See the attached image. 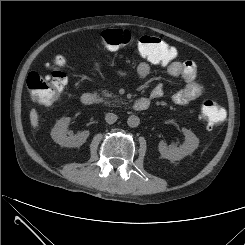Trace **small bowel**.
Listing matches in <instances>:
<instances>
[{
    "label": "small bowel",
    "instance_id": "obj_1",
    "mask_svg": "<svg viewBox=\"0 0 245 245\" xmlns=\"http://www.w3.org/2000/svg\"><path fill=\"white\" fill-rule=\"evenodd\" d=\"M136 72L138 78L144 80L150 75L151 67L147 62H141ZM167 72L170 76L181 78L185 82L184 87L175 91L171 96L175 104L190 105L204 94V87L197 79V66L193 61H173L168 64ZM163 94V86L157 85L151 92V97L160 98Z\"/></svg>",
    "mask_w": 245,
    "mask_h": 245
}]
</instances>
